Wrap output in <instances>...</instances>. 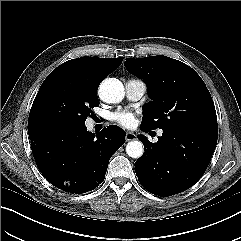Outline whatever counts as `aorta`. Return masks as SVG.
<instances>
[{"instance_id":"obj_1","label":"aorta","mask_w":241,"mask_h":241,"mask_svg":"<svg viewBox=\"0 0 241 241\" xmlns=\"http://www.w3.org/2000/svg\"><path fill=\"white\" fill-rule=\"evenodd\" d=\"M124 94L122 82L115 78L106 79L99 86V96L106 103H119ZM143 152V144L138 140L130 141L126 145V153L132 158H140Z\"/></svg>"}]
</instances>
